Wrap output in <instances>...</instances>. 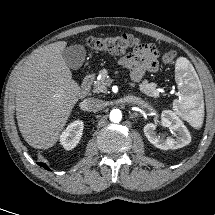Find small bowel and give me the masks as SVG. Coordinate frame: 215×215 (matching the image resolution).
<instances>
[{"instance_id":"1","label":"small bowel","mask_w":215,"mask_h":215,"mask_svg":"<svg viewBox=\"0 0 215 215\" xmlns=\"http://www.w3.org/2000/svg\"><path fill=\"white\" fill-rule=\"evenodd\" d=\"M156 47L150 43H143L133 50L132 53L122 57L119 63L130 70L134 82H139L147 72H157L159 64Z\"/></svg>"}]
</instances>
